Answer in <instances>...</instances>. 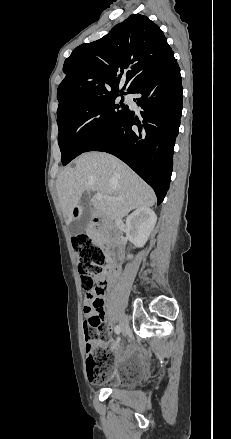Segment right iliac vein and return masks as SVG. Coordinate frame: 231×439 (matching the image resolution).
<instances>
[{"mask_svg": "<svg viewBox=\"0 0 231 439\" xmlns=\"http://www.w3.org/2000/svg\"><path fill=\"white\" fill-rule=\"evenodd\" d=\"M120 328L124 336L128 334L129 326L126 318H122L120 321Z\"/></svg>", "mask_w": 231, "mask_h": 439, "instance_id": "obj_1", "label": "right iliac vein"}]
</instances>
